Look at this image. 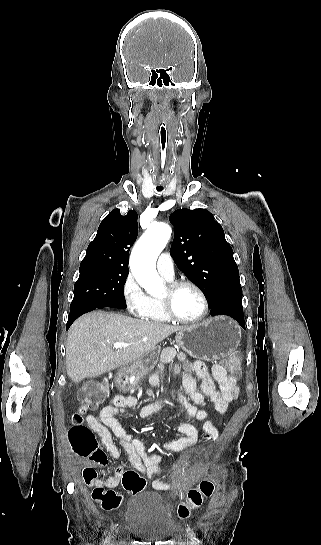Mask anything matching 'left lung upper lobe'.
Returning <instances> with one entry per match:
<instances>
[{
  "mask_svg": "<svg viewBox=\"0 0 321 545\" xmlns=\"http://www.w3.org/2000/svg\"><path fill=\"white\" fill-rule=\"evenodd\" d=\"M213 217L206 209L183 208L169 218L175 228L172 257L209 303L241 287L233 250L225 240L222 226Z\"/></svg>",
  "mask_w": 321,
  "mask_h": 545,
  "instance_id": "obj_1",
  "label": "left lung upper lobe"
}]
</instances>
